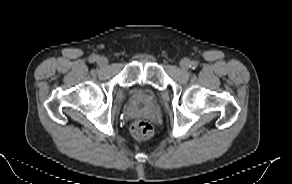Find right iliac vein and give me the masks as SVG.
Listing matches in <instances>:
<instances>
[{
    "instance_id": "1",
    "label": "right iliac vein",
    "mask_w": 292,
    "mask_h": 184,
    "mask_svg": "<svg viewBox=\"0 0 292 184\" xmlns=\"http://www.w3.org/2000/svg\"><path fill=\"white\" fill-rule=\"evenodd\" d=\"M97 64L100 66V67H103V66H106L108 64V60L107 58L105 57H99L97 59Z\"/></svg>"
}]
</instances>
